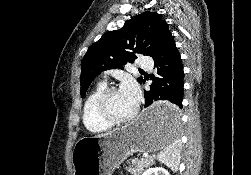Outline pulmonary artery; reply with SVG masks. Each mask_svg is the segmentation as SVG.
Here are the masks:
<instances>
[{"mask_svg": "<svg viewBox=\"0 0 251 175\" xmlns=\"http://www.w3.org/2000/svg\"><path fill=\"white\" fill-rule=\"evenodd\" d=\"M138 67H142V70H153V58H149L148 56H146L145 58H140V62H138ZM108 79L109 78L107 76L103 77L104 81H107Z\"/></svg>", "mask_w": 251, "mask_h": 175, "instance_id": "e3ab8cb5", "label": "pulmonary artery"}]
</instances>
